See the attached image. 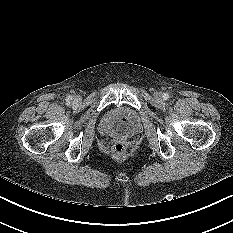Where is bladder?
<instances>
[{
	"instance_id": "obj_1",
	"label": "bladder",
	"mask_w": 233,
	"mask_h": 233,
	"mask_svg": "<svg viewBox=\"0 0 233 233\" xmlns=\"http://www.w3.org/2000/svg\"><path fill=\"white\" fill-rule=\"evenodd\" d=\"M142 125L137 112L129 107L120 106L104 113L99 122L100 132L112 138H129L141 131Z\"/></svg>"
}]
</instances>
